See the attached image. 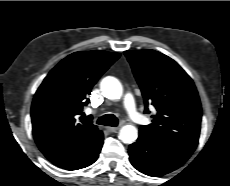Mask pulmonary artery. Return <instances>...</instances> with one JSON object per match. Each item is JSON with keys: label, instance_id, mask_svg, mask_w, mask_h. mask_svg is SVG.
I'll return each instance as SVG.
<instances>
[{"label": "pulmonary artery", "instance_id": "obj_1", "mask_svg": "<svg viewBox=\"0 0 230 186\" xmlns=\"http://www.w3.org/2000/svg\"><path fill=\"white\" fill-rule=\"evenodd\" d=\"M124 108L129 116V118L137 123L142 124L144 117L138 112L133 96L130 93H127L124 97Z\"/></svg>", "mask_w": 230, "mask_h": 186}]
</instances>
